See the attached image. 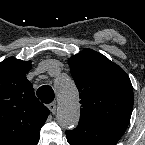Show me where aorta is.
Returning <instances> with one entry per match:
<instances>
[{"label":"aorta","instance_id":"762f6f07","mask_svg":"<svg viewBox=\"0 0 145 145\" xmlns=\"http://www.w3.org/2000/svg\"><path fill=\"white\" fill-rule=\"evenodd\" d=\"M56 92L58 98L57 121L64 129L74 128L79 122L80 105L73 81L68 78H58Z\"/></svg>","mask_w":145,"mask_h":145}]
</instances>
